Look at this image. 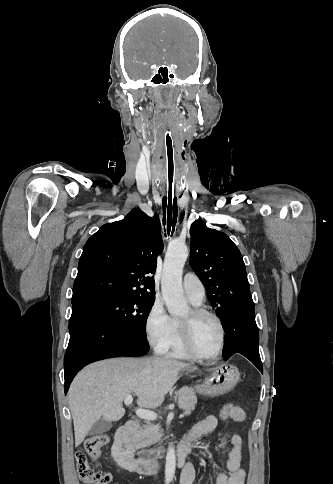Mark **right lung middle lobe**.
<instances>
[{
    "instance_id": "obj_1",
    "label": "right lung middle lobe",
    "mask_w": 333,
    "mask_h": 484,
    "mask_svg": "<svg viewBox=\"0 0 333 484\" xmlns=\"http://www.w3.org/2000/svg\"><path fill=\"white\" fill-rule=\"evenodd\" d=\"M82 301L101 310L113 323L131 336L147 342L146 319L154 303L152 296H122L110 293H91Z\"/></svg>"
}]
</instances>
